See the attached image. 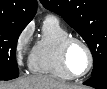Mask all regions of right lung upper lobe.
Masks as SVG:
<instances>
[{"label":"right lung upper lobe","mask_w":107,"mask_h":89,"mask_svg":"<svg viewBox=\"0 0 107 89\" xmlns=\"http://www.w3.org/2000/svg\"><path fill=\"white\" fill-rule=\"evenodd\" d=\"M0 1V20L28 24L37 11V0Z\"/></svg>","instance_id":"1"}]
</instances>
